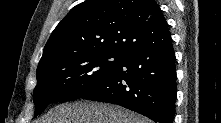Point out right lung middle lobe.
Masks as SVG:
<instances>
[{"label": "right lung middle lobe", "instance_id": "obj_1", "mask_svg": "<svg viewBox=\"0 0 221 123\" xmlns=\"http://www.w3.org/2000/svg\"><path fill=\"white\" fill-rule=\"evenodd\" d=\"M125 53L92 50L53 59L37 67L33 100L35 116L55 101L81 98L103 82L124 60Z\"/></svg>", "mask_w": 221, "mask_h": 123}]
</instances>
